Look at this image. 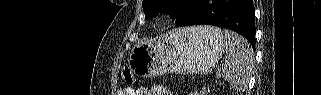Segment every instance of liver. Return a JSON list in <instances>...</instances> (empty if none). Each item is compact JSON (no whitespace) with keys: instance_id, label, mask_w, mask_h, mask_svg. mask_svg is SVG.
<instances>
[{"instance_id":"1","label":"liver","mask_w":321,"mask_h":95,"mask_svg":"<svg viewBox=\"0 0 321 95\" xmlns=\"http://www.w3.org/2000/svg\"><path fill=\"white\" fill-rule=\"evenodd\" d=\"M191 29H192V30H195V31H198V32H200V33H202V34H204L203 31H202V29H201V27H192Z\"/></svg>"}]
</instances>
